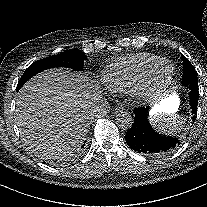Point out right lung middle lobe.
<instances>
[{
  "label": "right lung middle lobe",
  "instance_id": "1",
  "mask_svg": "<svg viewBox=\"0 0 207 207\" xmlns=\"http://www.w3.org/2000/svg\"><path fill=\"white\" fill-rule=\"evenodd\" d=\"M87 57L81 51L71 49L60 54L47 57L32 63L20 78L17 91L34 75L54 67H67L74 70H82L84 60Z\"/></svg>",
  "mask_w": 207,
  "mask_h": 207
}]
</instances>
